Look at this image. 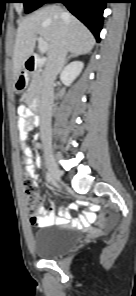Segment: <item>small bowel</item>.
<instances>
[{"label": "small bowel", "mask_w": 136, "mask_h": 296, "mask_svg": "<svg viewBox=\"0 0 136 296\" xmlns=\"http://www.w3.org/2000/svg\"><path fill=\"white\" fill-rule=\"evenodd\" d=\"M20 118L18 120V126L20 131V142L22 145L23 153L25 155V165L27 166V169L30 173V176L33 178L34 181L38 180V174L35 171L34 165H33V158H32V150L30 146L27 143L28 135L30 131L32 130V125L35 123V119L33 118V115L31 111L26 109L25 107H20L19 109ZM94 217V214L87 210L83 217H82V223H88L91 221ZM100 223L104 222L103 216H100L99 218ZM71 222L70 213L67 209L60 210L58 215H55L54 213L49 212L45 208H40L37 213V218L35 221H32V224L38 227H47L52 225H64L69 224Z\"/></svg>", "instance_id": "obj_1"}]
</instances>
